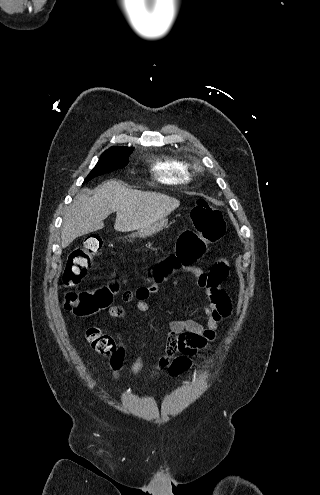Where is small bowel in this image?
<instances>
[{
    "mask_svg": "<svg viewBox=\"0 0 320 495\" xmlns=\"http://www.w3.org/2000/svg\"><path fill=\"white\" fill-rule=\"evenodd\" d=\"M183 270L192 274L197 279L198 286L204 289L206 300L203 311L207 316V325L203 326L192 319L167 322L162 332L166 337V351L159 360V369L151 370V375H157L162 369L171 376H177L189 370L193 365V359L198 357L201 352L210 349L220 322L231 314V301L226 293L218 287L228 274V263L225 259L216 260L208 274L198 267H183ZM157 290L158 286L152 283L138 288L135 293L125 291L122 299L125 303H132L136 300L134 302L136 310L146 313L150 311L147 299ZM137 293L142 294L143 298H137ZM108 314L113 318H120L125 315V310L122 306H113L108 309ZM144 346L145 343L142 342L141 349ZM123 354L124 349L121 346L116 354L119 362L111 363L115 379L119 377ZM143 367L144 360L142 355H139L131 366L132 374H139Z\"/></svg>",
    "mask_w": 320,
    "mask_h": 495,
    "instance_id": "1",
    "label": "small bowel"
}]
</instances>
